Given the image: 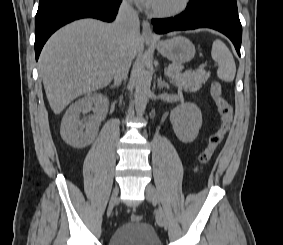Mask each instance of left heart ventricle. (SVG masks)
<instances>
[{
  "label": "left heart ventricle",
  "instance_id": "1",
  "mask_svg": "<svg viewBox=\"0 0 283 245\" xmlns=\"http://www.w3.org/2000/svg\"><path fill=\"white\" fill-rule=\"evenodd\" d=\"M178 0H155L153 6L155 7H170L174 5Z\"/></svg>",
  "mask_w": 283,
  "mask_h": 245
}]
</instances>
